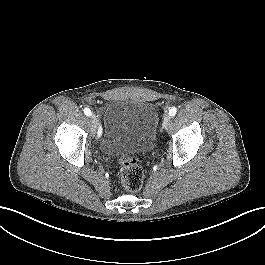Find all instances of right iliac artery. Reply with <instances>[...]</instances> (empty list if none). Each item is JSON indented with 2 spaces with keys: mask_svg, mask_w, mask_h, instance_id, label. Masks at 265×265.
<instances>
[{
  "mask_svg": "<svg viewBox=\"0 0 265 265\" xmlns=\"http://www.w3.org/2000/svg\"><path fill=\"white\" fill-rule=\"evenodd\" d=\"M84 113H85V115H87V116H91V115H92V112H91V110H90L89 108H85V109H84Z\"/></svg>",
  "mask_w": 265,
  "mask_h": 265,
  "instance_id": "82829eb1",
  "label": "right iliac artery"
}]
</instances>
